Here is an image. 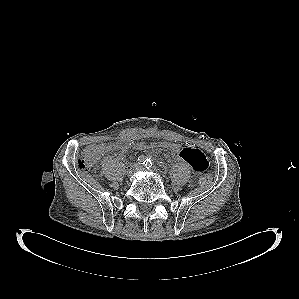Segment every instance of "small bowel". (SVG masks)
I'll return each mask as SVG.
<instances>
[{
    "label": "small bowel",
    "mask_w": 299,
    "mask_h": 299,
    "mask_svg": "<svg viewBox=\"0 0 299 299\" xmlns=\"http://www.w3.org/2000/svg\"><path fill=\"white\" fill-rule=\"evenodd\" d=\"M121 141L126 145L125 149H123L122 152L127 151L133 144L132 138H123L121 139ZM170 150L175 152L181 160L188 163L193 171L197 173H202L208 168L207 158L202 153V151L195 148L193 145L182 147L176 144V146H174Z\"/></svg>",
    "instance_id": "c3829d8e"
}]
</instances>
